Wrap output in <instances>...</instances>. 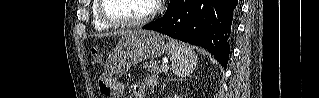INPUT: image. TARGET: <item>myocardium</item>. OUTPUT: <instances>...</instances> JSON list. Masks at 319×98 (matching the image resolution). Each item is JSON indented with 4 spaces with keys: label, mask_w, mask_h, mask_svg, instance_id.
Returning a JSON list of instances; mask_svg holds the SVG:
<instances>
[{
    "label": "myocardium",
    "mask_w": 319,
    "mask_h": 98,
    "mask_svg": "<svg viewBox=\"0 0 319 98\" xmlns=\"http://www.w3.org/2000/svg\"><path fill=\"white\" fill-rule=\"evenodd\" d=\"M107 0H100L99 2V16L101 20L109 25L110 27H119V28H137L141 27L145 24H147L149 21H151L157 12L159 11L160 2L156 0H150L151 1V9L150 11L143 16L140 19L132 20V21H123V20H117L113 19L110 16H108L105 12V3Z\"/></svg>",
    "instance_id": "obj_1"
}]
</instances>
